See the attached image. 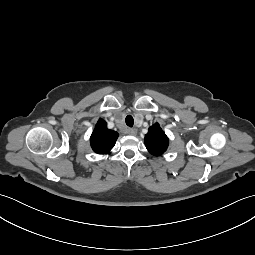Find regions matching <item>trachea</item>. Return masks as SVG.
<instances>
[{"instance_id": "1", "label": "trachea", "mask_w": 255, "mask_h": 255, "mask_svg": "<svg viewBox=\"0 0 255 255\" xmlns=\"http://www.w3.org/2000/svg\"><path fill=\"white\" fill-rule=\"evenodd\" d=\"M126 125L132 127L134 124V119L131 115H128L125 119Z\"/></svg>"}]
</instances>
